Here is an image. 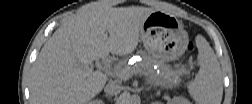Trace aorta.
I'll list each match as a JSON object with an SVG mask.
<instances>
[{"instance_id":"aorta-1","label":"aorta","mask_w":252,"mask_h":104,"mask_svg":"<svg viewBox=\"0 0 252 104\" xmlns=\"http://www.w3.org/2000/svg\"><path fill=\"white\" fill-rule=\"evenodd\" d=\"M125 102L129 104H137L140 102V97L137 95H125Z\"/></svg>"}]
</instances>
